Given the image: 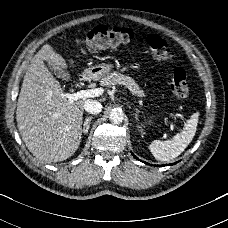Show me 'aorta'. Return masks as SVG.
I'll list each match as a JSON object with an SVG mask.
<instances>
[{"mask_svg":"<svg viewBox=\"0 0 228 228\" xmlns=\"http://www.w3.org/2000/svg\"><path fill=\"white\" fill-rule=\"evenodd\" d=\"M109 120L114 124H119L124 120V114L121 110L113 109L109 114Z\"/></svg>","mask_w":228,"mask_h":228,"instance_id":"1","label":"aorta"}]
</instances>
